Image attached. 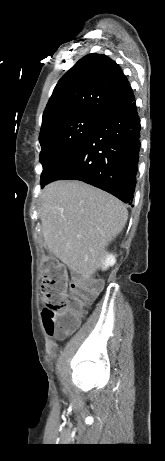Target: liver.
<instances>
[{
  "mask_svg": "<svg viewBox=\"0 0 165 461\" xmlns=\"http://www.w3.org/2000/svg\"><path fill=\"white\" fill-rule=\"evenodd\" d=\"M45 246L71 270L89 278L108 244L123 230L128 211L117 198L80 181H56L42 194Z\"/></svg>",
  "mask_w": 165,
  "mask_h": 461,
  "instance_id": "liver-1",
  "label": "liver"
}]
</instances>
